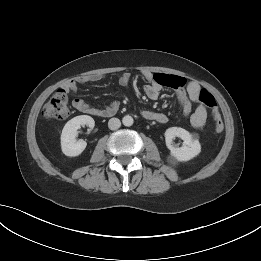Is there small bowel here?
Wrapping results in <instances>:
<instances>
[{
	"label": "small bowel",
	"instance_id": "c3829d8e",
	"mask_svg": "<svg viewBox=\"0 0 261 261\" xmlns=\"http://www.w3.org/2000/svg\"><path fill=\"white\" fill-rule=\"evenodd\" d=\"M143 76L149 82V84L145 86L144 92L150 99H157L164 86L173 88L175 90L177 98L182 105L184 114L190 115V123L192 127L196 129L204 127L207 120V109L206 106H204L200 102V92L202 89L198 84L190 82L186 85V79L183 77L176 75L152 73L149 71H144ZM102 77V74H90L83 76L78 81L68 82L65 85V91L75 93L78 89V83L83 84L96 82ZM129 81L130 74L128 72H124L119 78V83L122 86H127L129 84ZM193 104H196V108L192 112ZM72 105L79 112L100 116L111 115L118 108V105L116 103H111L104 109H98L95 107H91L83 99L79 98L74 99ZM142 115L148 120H153L161 124H164L168 121V117L165 114L154 112L151 110H144L142 112Z\"/></svg>",
	"mask_w": 261,
	"mask_h": 261
}]
</instances>
